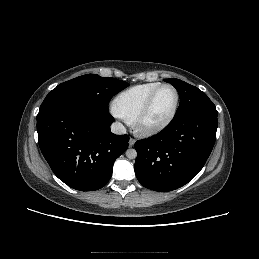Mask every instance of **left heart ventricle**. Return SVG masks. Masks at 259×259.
Masks as SVG:
<instances>
[{"instance_id":"1","label":"left heart ventricle","mask_w":259,"mask_h":259,"mask_svg":"<svg viewBox=\"0 0 259 259\" xmlns=\"http://www.w3.org/2000/svg\"><path fill=\"white\" fill-rule=\"evenodd\" d=\"M174 102L175 94L173 90L170 88L161 89L155 97L147 123L156 124L165 119L171 112Z\"/></svg>"}]
</instances>
